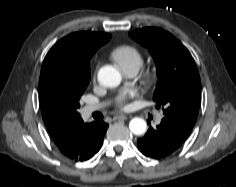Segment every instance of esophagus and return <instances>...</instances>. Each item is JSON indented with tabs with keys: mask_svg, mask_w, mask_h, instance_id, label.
<instances>
[{
	"mask_svg": "<svg viewBox=\"0 0 236 187\" xmlns=\"http://www.w3.org/2000/svg\"><path fill=\"white\" fill-rule=\"evenodd\" d=\"M114 120H126L127 116L126 115H116L113 117Z\"/></svg>",
	"mask_w": 236,
	"mask_h": 187,
	"instance_id": "1",
	"label": "esophagus"
}]
</instances>
